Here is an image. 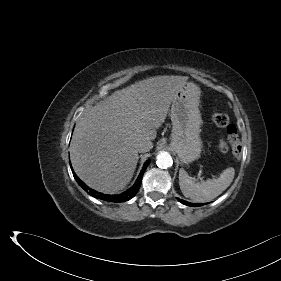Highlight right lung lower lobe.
I'll return each mask as SVG.
<instances>
[{"instance_id": "98d812e1", "label": "right lung lower lobe", "mask_w": 281, "mask_h": 281, "mask_svg": "<svg viewBox=\"0 0 281 281\" xmlns=\"http://www.w3.org/2000/svg\"><path fill=\"white\" fill-rule=\"evenodd\" d=\"M148 163H146L143 167V169L141 170L139 177L137 179V181L135 182V184L128 189L127 191L123 192L122 194L119 195H107V194H103L100 192H97L95 190L90 189L86 184H84L83 181H81L77 175L73 172L74 178L75 180L78 182V184L86 191L88 192L91 196L95 197V198H100L104 201L107 202H116V203H120V202H125L130 200L132 197H134L136 195V193L138 192L140 185H141V181H142V177L143 174L146 170Z\"/></svg>"}]
</instances>
